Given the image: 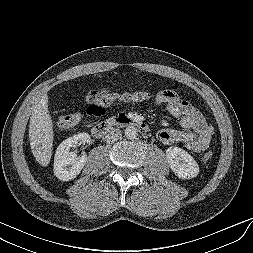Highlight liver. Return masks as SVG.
<instances>
[{
	"instance_id": "liver-1",
	"label": "liver",
	"mask_w": 253,
	"mask_h": 253,
	"mask_svg": "<svg viewBox=\"0 0 253 253\" xmlns=\"http://www.w3.org/2000/svg\"><path fill=\"white\" fill-rule=\"evenodd\" d=\"M30 146L36 161L48 166L54 140L53 122L48 111V95L44 94L33 108L29 124Z\"/></svg>"
}]
</instances>
